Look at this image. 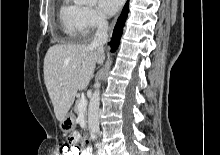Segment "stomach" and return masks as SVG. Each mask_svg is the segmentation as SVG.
<instances>
[{
  "label": "stomach",
  "mask_w": 220,
  "mask_h": 155,
  "mask_svg": "<svg viewBox=\"0 0 220 155\" xmlns=\"http://www.w3.org/2000/svg\"><path fill=\"white\" fill-rule=\"evenodd\" d=\"M60 128L65 133H68L69 130H74L75 116L73 113L66 114L65 118L60 122Z\"/></svg>",
  "instance_id": "1"
}]
</instances>
